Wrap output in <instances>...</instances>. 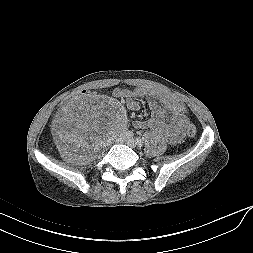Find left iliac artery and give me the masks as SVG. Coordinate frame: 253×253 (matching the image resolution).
Listing matches in <instances>:
<instances>
[{"instance_id":"obj_1","label":"left iliac artery","mask_w":253,"mask_h":253,"mask_svg":"<svg viewBox=\"0 0 253 253\" xmlns=\"http://www.w3.org/2000/svg\"><path fill=\"white\" fill-rule=\"evenodd\" d=\"M135 141H136V144L139 146V147H141L142 145H143V140L141 139V138H136L135 139Z\"/></svg>"}]
</instances>
